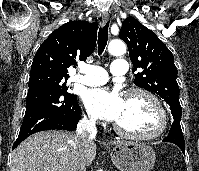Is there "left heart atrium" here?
<instances>
[{
  "label": "left heart atrium",
  "instance_id": "39dd6f15",
  "mask_svg": "<svg viewBox=\"0 0 199 171\" xmlns=\"http://www.w3.org/2000/svg\"><path fill=\"white\" fill-rule=\"evenodd\" d=\"M83 102L94 116L107 121H117L123 111L125 99L116 89L99 87L87 90L83 95Z\"/></svg>",
  "mask_w": 199,
  "mask_h": 171
}]
</instances>
